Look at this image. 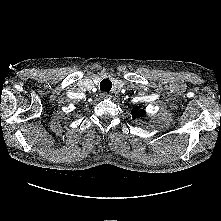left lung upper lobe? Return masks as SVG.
I'll list each match as a JSON object with an SVG mask.
<instances>
[{
	"label": "left lung upper lobe",
	"mask_w": 221,
	"mask_h": 221,
	"mask_svg": "<svg viewBox=\"0 0 221 221\" xmlns=\"http://www.w3.org/2000/svg\"><path fill=\"white\" fill-rule=\"evenodd\" d=\"M132 115L134 118H142L144 117L145 112L137 107L132 110Z\"/></svg>",
	"instance_id": "obj_1"
}]
</instances>
